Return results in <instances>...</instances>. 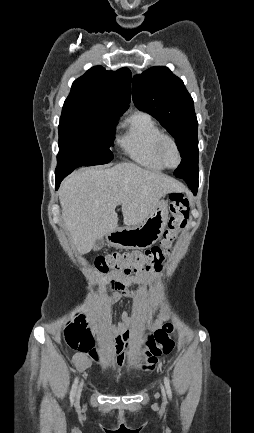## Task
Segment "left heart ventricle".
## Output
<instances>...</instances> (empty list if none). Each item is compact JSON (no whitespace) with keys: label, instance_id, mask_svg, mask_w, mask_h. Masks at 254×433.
Segmentation results:
<instances>
[{"label":"left heart ventricle","instance_id":"b2bd125f","mask_svg":"<svg viewBox=\"0 0 254 433\" xmlns=\"http://www.w3.org/2000/svg\"><path fill=\"white\" fill-rule=\"evenodd\" d=\"M161 156H162L163 161L168 166H175L178 163L177 152H176L174 146L172 145V143H170L169 141H166L163 143V145L161 147Z\"/></svg>","mask_w":254,"mask_h":433}]
</instances>
